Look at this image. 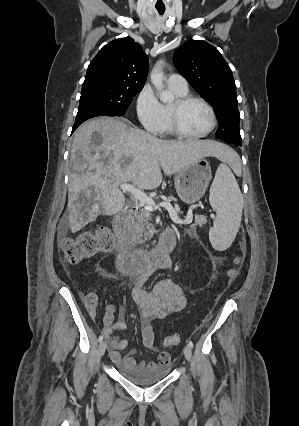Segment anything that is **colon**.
Instances as JSON below:
<instances>
[{
	"mask_svg": "<svg viewBox=\"0 0 299 426\" xmlns=\"http://www.w3.org/2000/svg\"><path fill=\"white\" fill-rule=\"evenodd\" d=\"M114 245V235L107 227H100L94 232L83 233L76 238L64 237L60 241L65 261L70 265L78 264L99 253L108 252L113 249ZM238 273L239 269L234 268L229 271L228 275L231 279H234ZM86 302L90 309H94L97 299L93 295H88ZM163 343L168 347L177 346L181 343V336L178 334L169 335L164 338Z\"/></svg>",
	"mask_w": 299,
	"mask_h": 426,
	"instance_id": "obj_1",
	"label": "colon"
}]
</instances>
